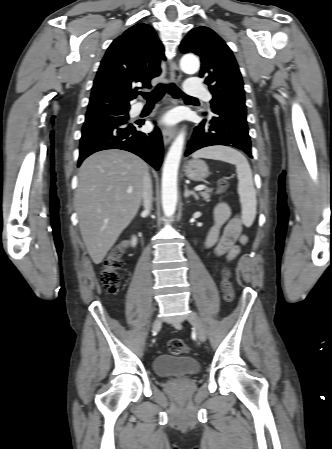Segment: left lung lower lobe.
I'll use <instances>...</instances> for the list:
<instances>
[{
	"mask_svg": "<svg viewBox=\"0 0 332 449\" xmlns=\"http://www.w3.org/2000/svg\"><path fill=\"white\" fill-rule=\"evenodd\" d=\"M248 130L246 115L213 110L212 116L194 128L185 156L203 147L225 145L238 148L252 158Z\"/></svg>",
	"mask_w": 332,
	"mask_h": 449,
	"instance_id": "1",
	"label": "left lung lower lobe"
}]
</instances>
